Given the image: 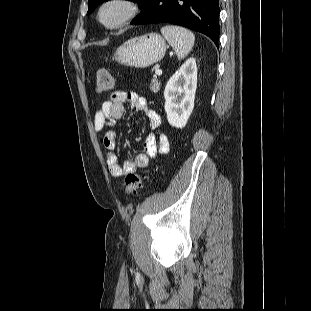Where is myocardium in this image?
Masks as SVG:
<instances>
[{
	"mask_svg": "<svg viewBox=\"0 0 311 311\" xmlns=\"http://www.w3.org/2000/svg\"><path fill=\"white\" fill-rule=\"evenodd\" d=\"M119 7L121 13L119 17L113 22H107L104 19V12L109 7ZM138 11V6L133 0H105L98 8L97 19L107 29L115 30L118 29L129 21H131Z\"/></svg>",
	"mask_w": 311,
	"mask_h": 311,
	"instance_id": "myocardium-1",
	"label": "myocardium"
}]
</instances>
